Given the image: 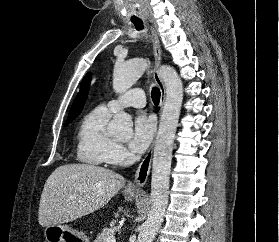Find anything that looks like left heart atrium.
<instances>
[{
    "instance_id": "39dd6f15",
    "label": "left heart atrium",
    "mask_w": 279,
    "mask_h": 242,
    "mask_svg": "<svg viewBox=\"0 0 279 242\" xmlns=\"http://www.w3.org/2000/svg\"><path fill=\"white\" fill-rule=\"evenodd\" d=\"M155 121L145 113H139L134 121L129 147L134 153H143L152 141Z\"/></svg>"
}]
</instances>
